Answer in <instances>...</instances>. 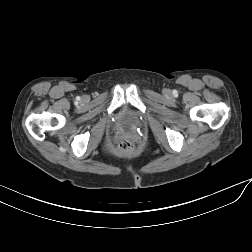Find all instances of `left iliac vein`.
Listing matches in <instances>:
<instances>
[{"label": "left iliac vein", "mask_w": 252, "mask_h": 252, "mask_svg": "<svg viewBox=\"0 0 252 252\" xmlns=\"http://www.w3.org/2000/svg\"><path fill=\"white\" fill-rule=\"evenodd\" d=\"M170 93V90H166V94H169Z\"/></svg>", "instance_id": "obj_1"}]
</instances>
